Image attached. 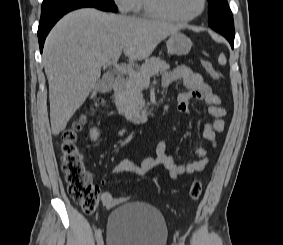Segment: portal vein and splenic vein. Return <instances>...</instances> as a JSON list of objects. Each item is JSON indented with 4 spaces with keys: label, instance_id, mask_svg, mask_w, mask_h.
<instances>
[{
    "label": "portal vein and splenic vein",
    "instance_id": "1",
    "mask_svg": "<svg viewBox=\"0 0 283 245\" xmlns=\"http://www.w3.org/2000/svg\"><path fill=\"white\" fill-rule=\"evenodd\" d=\"M120 57V54H117L114 59L108 63H106L107 65H111L113 66L118 72L122 73V74H126L129 75V77H136L138 76V73L132 68V67H128L126 65H121L118 63V59ZM143 81L145 84H149L150 82V77H144Z\"/></svg>",
    "mask_w": 283,
    "mask_h": 245
}]
</instances>
